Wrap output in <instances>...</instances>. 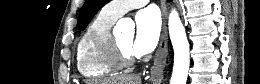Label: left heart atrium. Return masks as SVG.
I'll list each match as a JSON object with an SVG mask.
<instances>
[{"label": "left heart atrium", "mask_w": 260, "mask_h": 84, "mask_svg": "<svg viewBox=\"0 0 260 84\" xmlns=\"http://www.w3.org/2000/svg\"><path fill=\"white\" fill-rule=\"evenodd\" d=\"M161 33V19L158 11L149 7L136 15V38L134 52L141 56L150 53L156 47Z\"/></svg>", "instance_id": "obj_1"}]
</instances>
